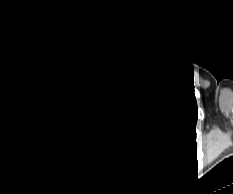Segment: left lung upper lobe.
Here are the masks:
<instances>
[{
    "mask_svg": "<svg viewBox=\"0 0 233 194\" xmlns=\"http://www.w3.org/2000/svg\"><path fill=\"white\" fill-rule=\"evenodd\" d=\"M137 95L149 136L147 151L183 157L196 132L195 94L168 79H150Z\"/></svg>",
    "mask_w": 233,
    "mask_h": 194,
    "instance_id": "obj_1",
    "label": "left lung upper lobe"
}]
</instances>
